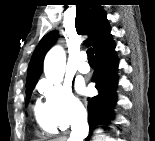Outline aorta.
<instances>
[{
    "mask_svg": "<svg viewBox=\"0 0 155 141\" xmlns=\"http://www.w3.org/2000/svg\"><path fill=\"white\" fill-rule=\"evenodd\" d=\"M66 56L60 46H54L46 55L44 60V73L52 83H60L65 72Z\"/></svg>",
    "mask_w": 155,
    "mask_h": 141,
    "instance_id": "aorta-1",
    "label": "aorta"
}]
</instances>
